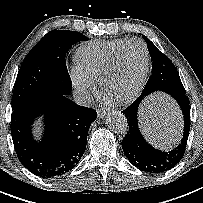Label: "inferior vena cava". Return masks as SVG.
<instances>
[{"mask_svg":"<svg viewBox=\"0 0 203 203\" xmlns=\"http://www.w3.org/2000/svg\"><path fill=\"white\" fill-rule=\"evenodd\" d=\"M73 97L75 102L79 105L90 106L92 104V96L87 90H76L73 93Z\"/></svg>","mask_w":203,"mask_h":203,"instance_id":"inferior-vena-cava-1","label":"inferior vena cava"}]
</instances>
